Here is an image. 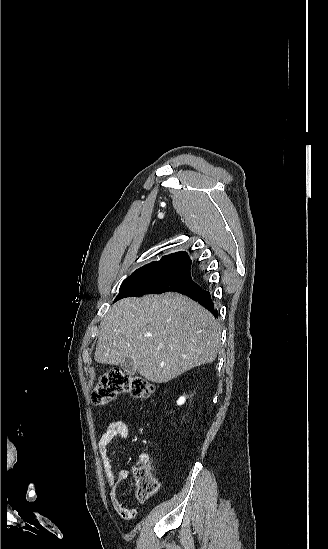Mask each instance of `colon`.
Masks as SVG:
<instances>
[{
    "label": "colon",
    "instance_id": "obj_1",
    "mask_svg": "<svg viewBox=\"0 0 328 549\" xmlns=\"http://www.w3.org/2000/svg\"><path fill=\"white\" fill-rule=\"evenodd\" d=\"M154 392V387L146 379L131 375L121 369L113 368L107 371L95 385L91 400L95 405H105L121 393H129L136 398H148ZM136 482V497L145 500L150 496L153 480L150 473L142 466L134 469ZM134 513H128L132 518Z\"/></svg>",
    "mask_w": 328,
    "mask_h": 549
}]
</instances>
